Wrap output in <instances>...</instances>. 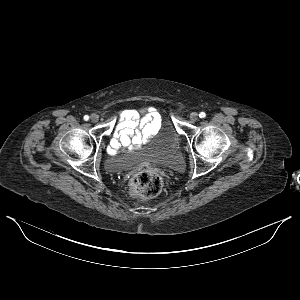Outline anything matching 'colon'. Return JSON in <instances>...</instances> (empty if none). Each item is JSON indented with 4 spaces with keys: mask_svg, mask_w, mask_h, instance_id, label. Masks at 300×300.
Returning <instances> with one entry per match:
<instances>
[{
    "mask_svg": "<svg viewBox=\"0 0 300 300\" xmlns=\"http://www.w3.org/2000/svg\"><path fill=\"white\" fill-rule=\"evenodd\" d=\"M129 188L133 197L153 198L161 192L162 180L154 170L142 168L131 176Z\"/></svg>",
    "mask_w": 300,
    "mask_h": 300,
    "instance_id": "1",
    "label": "colon"
}]
</instances>
